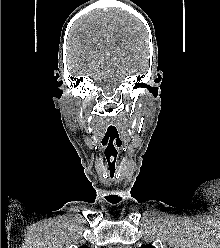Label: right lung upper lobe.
<instances>
[{"label":"right lung upper lobe","mask_w":220,"mask_h":248,"mask_svg":"<svg viewBox=\"0 0 220 248\" xmlns=\"http://www.w3.org/2000/svg\"><path fill=\"white\" fill-rule=\"evenodd\" d=\"M80 248H88V247H86V246H82V247H80Z\"/></svg>","instance_id":"obj_1"}]
</instances>
